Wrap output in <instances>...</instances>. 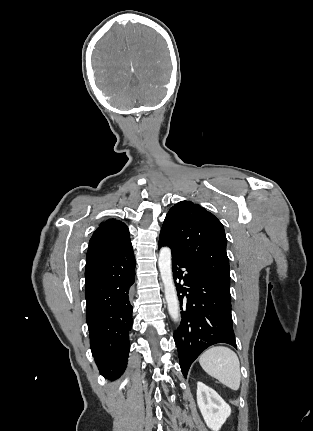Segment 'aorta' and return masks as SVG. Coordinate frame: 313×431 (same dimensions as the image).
Returning <instances> with one entry per match:
<instances>
[{
	"label": "aorta",
	"mask_w": 313,
	"mask_h": 431,
	"mask_svg": "<svg viewBox=\"0 0 313 431\" xmlns=\"http://www.w3.org/2000/svg\"><path fill=\"white\" fill-rule=\"evenodd\" d=\"M158 266L164 285L165 299L171 318L178 322L180 320V307L176 288L172 276L171 250L169 247L161 248L158 258Z\"/></svg>",
	"instance_id": "762f6f07"
}]
</instances>
